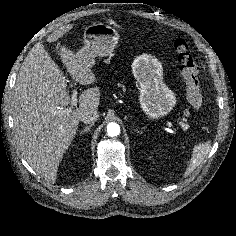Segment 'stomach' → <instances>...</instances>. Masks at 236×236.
I'll return each mask as SVG.
<instances>
[{
    "instance_id": "1",
    "label": "stomach",
    "mask_w": 236,
    "mask_h": 236,
    "mask_svg": "<svg viewBox=\"0 0 236 236\" xmlns=\"http://www.w3.org/2000/svg\"><path fill=\"white\" fill-rule=\"evenodd\" d=\"M119 40L114 28L97 23L85 28V45L76 52V57L93 66L95 57L112 54ZM132 73L139 87V102L149 119L166 116L176 105L175 93L163 81L161 62L150 54L137 56L132 65Z\"/></svg>"
}]
</instances>
